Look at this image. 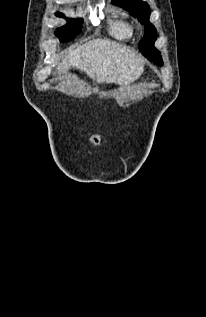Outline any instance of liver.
I'll list each match as a JSON object with an SVG mask.
<instances>
[{
  "instance_id": "liver-1",
  "label": "liver",
  "mask_w": 206,
  "mask_h": 317,
  "mask_svg": "<svg viewBox=\"0 0 206 317\" xmlns=\"http://www.w3.org/2000/svg\"><path fill=\"white\" fill-rule=\"evenodd\" d=\"M70 67L84 71L99 83L127 85L140 77L144 60L119 43L94 39L70 51L57 69L65 73Z\"/></svg>"
}]
</instances>
